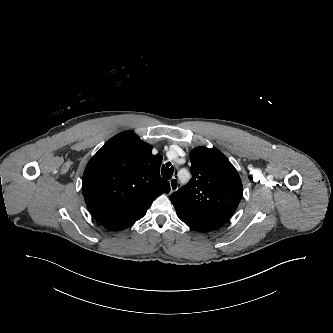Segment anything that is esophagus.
<instances>
[{
  "instance_id": "obj_1",
  "label": "esophagus",
  "mask_w": 333,
  "mask_h": 333,
  "mask_svg": "<svg viewBox=\"0 0 333 333\" xmlns=\"http://www.w3.org/2000/svg\"><path fill=\"white\" fill-rule=\"evenodd\" d=\"M170 189H171V192H174L178 189V179L176 177H173L170 181Z\"/></svg>"
}]
</instances>
